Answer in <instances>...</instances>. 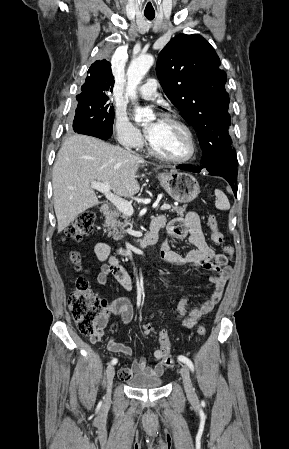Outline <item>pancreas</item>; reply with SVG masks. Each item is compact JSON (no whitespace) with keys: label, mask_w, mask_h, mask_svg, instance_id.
Here are the masks:
<instances>
[{"label":"pancreas","mask_w":289,"mask_h":449,"mask_svg":"<svg viewBox=\"0 0 289 449\" xmlns=\"http://www.w3.org/2000/svg\"><path fill=\"white\" fill-rule=\"evenodd\" d=\"M170 211L175 212L179 216H184L186 207L172 206ZM119 218L123 219V222ZM128 218V216L122 214L119 210L112 211L106 215L104 227H106L109 234H112L114 240H121L126 233L125 227L128 225L132 226V222H129Z\"/></svg>","instance_id":"obj_1"}]
</instances>
